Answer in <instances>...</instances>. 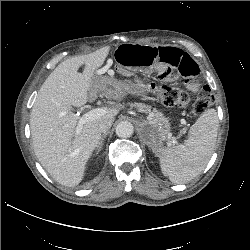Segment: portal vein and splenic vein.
<instances>
[{"instance_id":"18ae733b","label":"portal vein and splenic vein","mask_w":250,"mask_h":250,"mask_svg":"<svg viewBox=\"0 0 250 250\" xmlns=\"http://www.w3.org/2000/svg\"><path fill=\"white\" fill-rule=\"evenodd\" d=\"M105 113H106L105 109L96 108V109H92L89 112L83 114L78 120L77 127H76V133H79L82 130L84 124L103 116ZM170 143L177 144V140L175 138H172Z\"/></svg>"}]
</instances>
